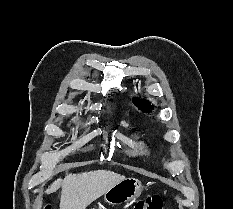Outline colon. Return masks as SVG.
I'll return each mask as SVG.
<instances>
[{
	"instance_id": "5ec220e1",
	"label": "colon",
	"mask_w": 233,
	"mask_h": 209,
	"mask_svg": "<svg viewBox=\"0 0 233 209\" xmlns=\"http://www.w3.org/2000/svg\"><path fill=\"white\" fill-rule=\"evenodd\" d=\"M46 209H51L47 206ZM132 209H163V200L160 195H150L137 201Z\"/></svg>"
}]
</instances>
